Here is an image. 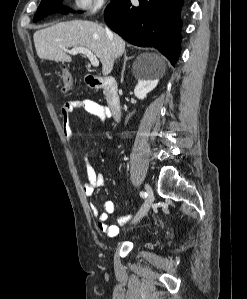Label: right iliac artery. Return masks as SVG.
<instances>
[{
    "label": "right iliac artery",
    "mask_w": 247,
    "mask_h": 299,
    "mask_svg": "<svg viewBox=\"0 0 247 299\" xmlns=\"http://www.w3.org/2000/svg\"><path fill=\"white\" fill-rule=\"evenodd\" d=\"M140 196H141L142 198H146V197H147V193L144 192V191H141V192H140Z\"/></svg>",
    "instance_id": "right-iliac-artery-1"
}]
</instances>
